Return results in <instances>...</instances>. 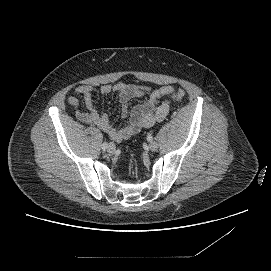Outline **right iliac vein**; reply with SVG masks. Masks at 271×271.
Listing matches in <instances>:
<instances>
[{
    "instance_id": "63e3f726",
    "label": "right iliac vein",
    "mask_w": 271,
    "mask_h": 271,
    "mask_svg": "<svg viewBox=\"0 0 271 271\" xmlns=\"http://www.w3.org/2000/svg\"><path fill=\"white\" fill-rule=\"evenodd\" d=\"M115 145L113 143H110L107 147V152L110 153V154H113L115 152Z\"/></svg>"
}]
</instances>
